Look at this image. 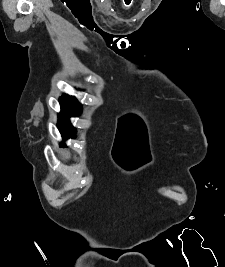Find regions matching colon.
Segmentation results:
<instances>
[{
  "label": "colon",
  "mask_w": 225,
  "mask_h": 267,
  "mask_svg": "<svg viewBox=\"0 0 225 267\" xmlns=\"http://www.w3.org/2000/svg\"><path fill=\"white\" fill-rule=\"evenodd\" d=\"M124 3H125V6L128 7L131 3V0H125Z\"/></svg>",
  "instance_id": "colon-1"
}]
</instances>
